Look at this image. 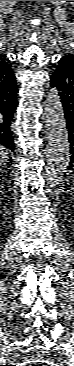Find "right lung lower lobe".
I'll return each mask as SVG.
<instances>
[{"label": "right lung lower lobe", "mask_w": 74, "mask_h": 366, "mask_svg": "<svg viewBox=\"0 0 74 366\" xmlns=\"http://www.w3.org/2000/svg\"><path fill=\"white\" fill-rule=\"evenodd\" d=\"M17 86L15 76L6 83L0 82V146L15 151L11 124L16 109Z\"/></svg>", "instance_id": "right-lung-lower-lobe-1"}]
</instances>
